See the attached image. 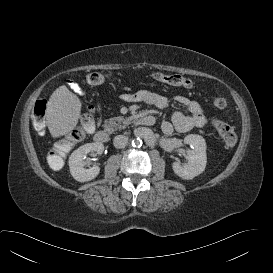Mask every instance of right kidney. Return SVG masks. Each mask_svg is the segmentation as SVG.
Masks as SVG:
<instances>
[{"label":"right kidney","instance_id":"obj_1","mask_svg":"<svg viewBox=\"0 0 273 273\" xmlns=\"http://www.w3.org/2000/svg\"><path fill=\"white\" fill-rule=\"evenodd\" d=\"M103 151L104 145L99 142L87 143L76 149L69 157V168L73 178L78 182H87L97 177L100 172V167L94 165L93 167L86 169L85 165L87 162L85 158L90 152L102 154Z\"/></svg>","mask_w":273,"mask_h":273}]
</instances>
